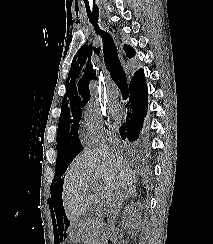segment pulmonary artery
<instances>
[{"label":"pulmonary artery","mask_w":213,"mask_h":244,"mask_svg":"<svg viewBox=\"0 0 213 244\" xmlns=\"http://www.w3.org/2000/svg\"><path fill=\"white\" fill-rule=\"evenodd\" d=\"M107 94L111 97H116L118 94V91L116 89V86L114 83H109L107 85Z\"/></svg>","instance_id":"obj_1"}]
</instances>
